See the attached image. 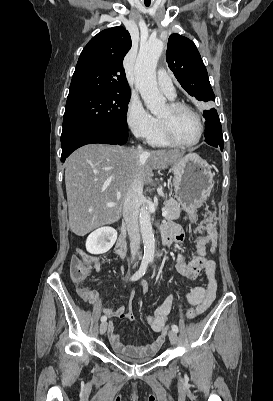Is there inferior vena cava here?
<instances>
[{
  "mask_svg": "<svg viewBox=\"0 0 273 401\" xmlns=\"http://www.w3.org/2000/svg\"><path fill=\"white\" fill-rule=\"evenodd\" d=\"M138 152H141L140 156L146 154V150H142V146H138ZM138 172V170H136ZM143 182L139 176L136 174L134 176L133 182L130 184L128 190V196L123 205V217L125 225L127 227L129 241H130V251L132 259H135L138 249L140 247V231L138 225L139 217V203L142 201L143 194Z\"/></svg>",
  "mask_w": 273,
  "mask_h": 401,
  "instance_id": "1",
  "label": "inferior vena cava"
}]
</instances>
